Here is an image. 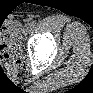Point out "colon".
<instances>
[{"mask_svg": "<svg viewBox=\"0 0 93 93\" xmlns=\"http://www.w3.org/2000/svg\"><path fill=\"white\" fill-rule=\"evenodd\" d=\"M15 26L9 27L7 25L1 26L0 33V52L2 62L15 61L14 41H15Z\"/></svg>", "mask_w": 93, "mask_h": 93, "instance_id": "5ec220e1", "label": "colon"}]
</instances>
